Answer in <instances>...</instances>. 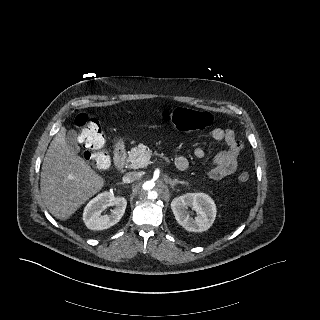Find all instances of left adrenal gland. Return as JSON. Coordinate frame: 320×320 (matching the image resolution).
I'll list each match as a JSON object with an SVG mask.
<instances>
[{"label":"left adrenal gland","instance_id":"1","mask_svg":"<svg viewBox=\"0 0 320 320\" xmlns=\"http://www.w3.org/2000/svg\"><path fill=\"white\" fill-rule=\"evenodd\" d=\"M169 184L173 187L176 184H188V183L185 181H179L177 179H174V180H169Z\"/></svg>","mask_w":320,"mask_h":320}]
</instances>
